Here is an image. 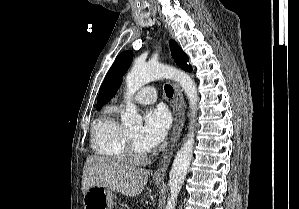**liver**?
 I'll return each mask as SVG.
<instances>
[{
  "mask_svg": "<svg viewBox=\"0 0 299 209\" xmlns=\"http://www.w3.org/2000/svg\"><path fill=\"white\" fill-rule=\"evenodd\" d=\"M145 169L116 162L100 156H88L82 178V192L93 186H102L126 196L139 195L148 182Z\"/></svg>",
  "mask_w": 299,
  "mask_h": 209,
  "instance_id": "6515ba94",
  "label": "liver"
}]
</instances>
